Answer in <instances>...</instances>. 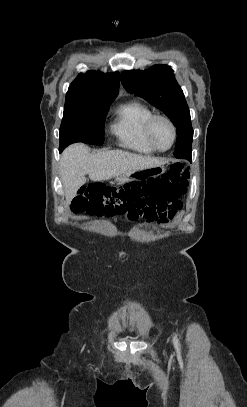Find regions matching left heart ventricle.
<instances>
[{
	"instance_id": "obj_1",
	"label": "left heart ventricle",
	"mask_w": 247,
	"mask_h": 407,
	"mask_svg": "<svg viewBox=\"0 0 247 407\" xmlns=\"http://www.w3.org/2000/svg\"><path fill=\"white\" fill-rule=\"evenodd\" d=\"M172 130L168 123L157 120L153 125V138L160 148H167L172 141Z\"/></svg>"
}]
</instances>
